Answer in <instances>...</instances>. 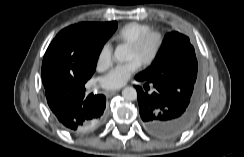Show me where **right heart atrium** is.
<instances>
[{
    "label": "right heart atrium",
    "instance_id": "d8ad5b80",
    "mask_svg": "<svg viewBox=\"0 0 244 157\" xmlns=\"http://www.w3.org/2000/svg\"><path fill=\"white\" fill-rule=\"evenodd\" d=\"M113 61V49L110 42H105L99 49L96 58V69L99 72L106 71L111 65Z\"/></svg>",
    "mask_w": 244,
    "mask_h": 157
}]
</instances>
